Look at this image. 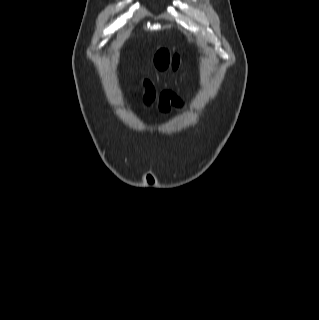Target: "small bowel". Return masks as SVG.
I'll return each mask as SVG.
<instances>
[{
  "label": "small bowel",
  "mask_w": 319,
  "mask_h": 320,
  "mask_svg": "<svg viewBox=\"0 0 319 320\" xmlns=\"http://www.w3.org/2000/svg\"><path fill=\"white\" fill-rule=\"evenodd\" d=\"M144 101L148 106H151L158 100V106L161 112L167 113L171 105L182 110L184 107L183 101L170 91H164L159 96L155 93L153 84L149 80L144 81Z\"/></svg>",
  "instance_id": "small-bowel-1"
}]
</instances>
